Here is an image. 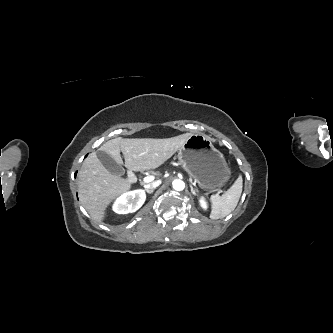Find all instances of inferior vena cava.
<instances>
[{"label":"inferior vena cava","mask_w":333,"mask_h":333,"mask_svg":"<svg viewBox=\"0 0 333 333\" xmlns=\"http://www.w3.org/2000/svg\"><path fill=\"white\" fill-rule=\"evenodd\" d=\"M161 184V181H155L151 184L148 185H144L145 189H154L156 187H158Z\"/></svg>","instance_id":"inferior-vena-cava-1"}]
</instances>
